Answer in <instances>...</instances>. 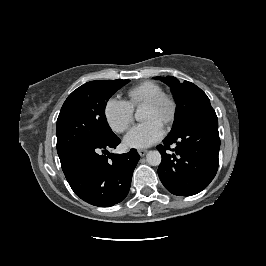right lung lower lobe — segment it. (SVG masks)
Segmentation results:
<instances>
[{"label": "right lung lower lobe", "instance_id": "right-lung-lower-lobe-1", "mask_svg": "<svg viewBox=\"0 0 266 266\" xmlns=\"http://www.w3.org/2000/svg\"><path fill=\"white\" fill-rule=\"evenodd\" d=\"M120 142L114 134L92 146L76 148L60 159L70 187L87 203L109 207L127 196L140 156L136 149L126 154L108 152Z\"/></svg>", "mask_w": 266, "mask_h": 266}]
</instances>
